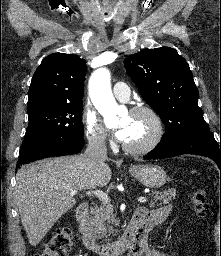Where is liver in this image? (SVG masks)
<instances>
[{
    "label": "liver",
    "mask_w": 221,
    "mask_h": 256,
    "mask_svg": "<svg viewBox=\"0 0 221 256\" xmlns=\"http://www.w3.org/2000/svg\"><path fill=\"white\" fill-rule=\"evenodd\" d=\"M107 164L92 166L84 155L49 158L25 165L16 175L15 202L29 243L36 246L76 203L72 190L104 187Z\"/></svg>",
    "instance_id": "6515ba94"
}]
</instances>
